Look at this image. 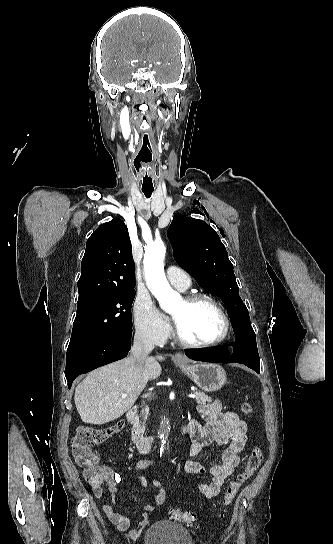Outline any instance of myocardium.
Returning a JSON list of instances; mask_svg holds the SVG:
<instances>
[{
	"label": "myocardium",
	"mask_w": 333,
	"mask_h": 544,
	"mask_svg": "<svg viewBox=\"0 0 333 544\" xmlns=\"http://www.w3.org/2000/svg\"><path fill=\"white\" fill-rule=\"evenodd\" d=\"M202 301L210 302L218 309L223 320L222 333L220 334L218 338L212 341L204 342V343H196L186 339L182 335V333L180 332L178 328L177 323L174 320V337L177 340V342H179L181 345L185 347L194 348V349H205V348L215 347L221 344L222 342H224L229 335L230 327H231L230 318L224 304L218 298L210 294H204V293L191 294L184 298V302L188 305H194Z\"/></svg>",
	"instance_id": "obj_1"
}]
</instances>
